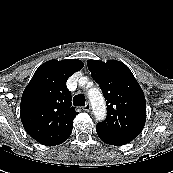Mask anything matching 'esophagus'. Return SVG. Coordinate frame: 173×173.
<instances>
[{
  "instance_id": "1",
  "label": "esophagus",
  "mask_w": 173,
  "mask_h": 173,
  "mask_svg": "<svg viewBox=\"0 0 173 173\" xmlns=\"http://www.w3.org/2000/svg\"><path fill=\"white\" fill-rule=\"evenodd\" d=\"M83 110L86 111V112H90V110H91V105H90V103H87V104L83 107Z\"/></svg>"
}]
</instances>
